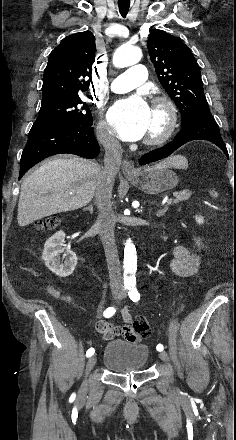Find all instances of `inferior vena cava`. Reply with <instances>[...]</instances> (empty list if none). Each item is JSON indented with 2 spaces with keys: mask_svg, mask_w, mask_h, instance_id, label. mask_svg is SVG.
I'll return each mask as SVG.
<instances>
[{
  "mask_svg": "<svg viewBox=\"0 0 236 440\" xmlns=\"http://www.w3.org/2000/svg\"><path fill=\"white\" fill-rule=\"evenodd\" d=\"M99 140L105 148L104 167H102L96 187V203L99 209L97 226L102 241L112 289L123 286L120 260L114 237L115 223L113 220L111 202V181L119 170L122 158V147L119 141L111 134L104 132Z\"/></svg>",
  "mask_w": 236,
  "mask_h": 440,
  "instance_id": "602c4592",
  "label": "inferior vena cava"
}]
</instances>
